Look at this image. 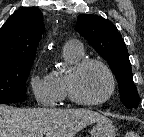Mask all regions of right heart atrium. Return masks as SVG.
<instances>
[{
    "label": "right heart atrium",
    "mask_w": 144,
    "mask_h": 137,
    "mask_svg": "<svg viewBox=\"0 0 144 137\" xmlns=\"http://www.w3.org/2000/svg\"><path fill=\"white\" fill-rule=\"evenodd\" d=\"M29 88L37 103L43 106L57 104L58 95L50 73L36 68L29 77Z\"/></svg>",
    "instance_id": "right-heart-atrium-1"
}]
</instances>
